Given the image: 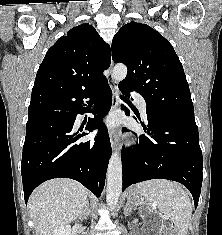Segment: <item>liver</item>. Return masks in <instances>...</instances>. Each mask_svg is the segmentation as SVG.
<instances>
[{
	"instance_id": "obj_1",
	"label": "liver",
	"mask_w": 222,
	"mask_h": 235,
	"mask_svg": "<svg viewBox=\"0 0 222 235\" xmlns=\"http://www.w3.org/2000/svg\"><path fill=\"white\" fill-rule=\"evenodd\" d=\"M87 201V189L77 181L60 178L44 182L28 201L36 235H53L76 220Z\"/></svg>"
}]
</instances>
